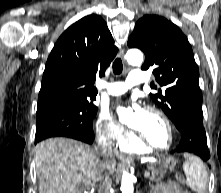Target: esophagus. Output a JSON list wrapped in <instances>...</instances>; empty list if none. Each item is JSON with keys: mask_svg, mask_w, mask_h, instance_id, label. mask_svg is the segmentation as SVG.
<instances>
[{"mask_svg": "<svg viewBox=\"0 0 221 193\" xmlns=\"http://www.w3.org/2000/svg\"><path fill=\"white\" fill-rule=\"evenodd\" d=\"M119 56L125 62V54H124V50L123 49L120 51Z\"/></svg>", "mask_w": 221, "mask_h": 193, "instance_id": "34e87169", "label": "esophagus"}]
</instances>
